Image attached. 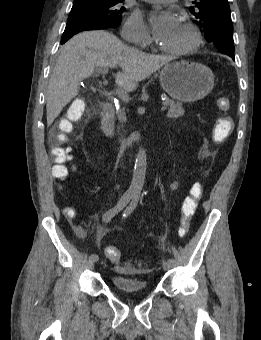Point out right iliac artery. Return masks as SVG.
Returning a JSON list of instances; mask_svg holds the SVG:
<instances>
[{"instance_id": "82829eb1", "label": "right iliac artery", "mask_w": 261, "mask_h": 340, "mask_svg": "<svg viewBox=\"0 0 261 340\" xmlns=\"http://www.w3.org/2000/svg\"><path fill=\"white\" fill-rule=\"evenodd\" d=\"M133 197V195L131 193H125L122 198L119 200V202L112 207L111 209H109L104 215H103V222L104 223H108L111 221V219L118 214L121 210H123V208L129 203V201L131 200V198ZM90 260H92L93 262L98 261L99 257L96 254H91L89 257Z\"/></svg>"}]
</instances>
